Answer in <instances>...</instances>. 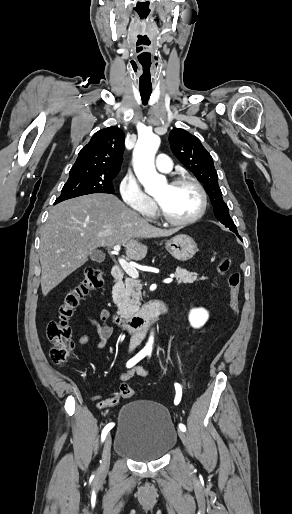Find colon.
Returning a JSON list of instances; mask_svg holds the SVG:
<instances>
[{
    "label": "colon",
    "mask_w": 292,
    "mask_h": 514,
    "mask_svg": "<svg viewBox=\"0 0 292 514\" xmlns=\"http://www.w3.org/2000/svg\"><path fill=\"white\" fill-rule=\"evenodd\" d=\"M218 270L225 275L229 287V303L234 317L239 312V292L241 275L231 267L230 260L223 256L218 263ZM104 284L103 272L87 265L84 270V279L77 285L67 289L58 307V315L47 324L46 333L51 344L50 358L54 364L65 363L70 356L73 339L69 321L80 302L90 293L96 292ZM124 399H131L133 388L130 384H123L120 388Z\"/></svg>",
    "instance_id": "obj_1"
}]
</instances>
